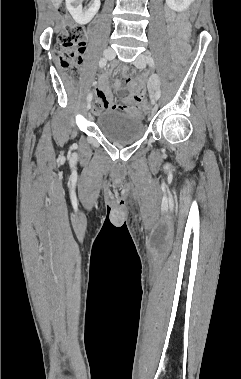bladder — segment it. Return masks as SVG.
Instances as JSON below:
<instances>
[{
    "mask_svg": "<svg viewBox=\"0 0 241 379\" xmlns=\"http://www.w3.org/2000/svg\"><path fill=\"white\" fill-rule=\"evenodd\" d=\"M97 127L109 142L125 145L140 139L144 133L140 117L117 110H106L97 117Z\"/></svg>",
    "mask_w": 241,
    "mask_h": 379,
    "instance_id": "31cf9c89",
    "label": "bladder"
}]
</instances>
